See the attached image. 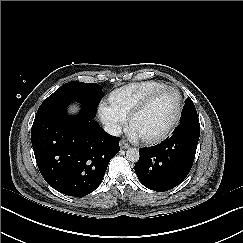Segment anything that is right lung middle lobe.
<instances>
[{
  "label": "right lung middle lobe",
  "instance_id": "1",
  "mask_svg": "<svg viewBox=\"0 0 243 243\" xmlns=\"http://www.w3.org/2000/svg\"><path fill=\"white\" fill-rule=\"evenodd\" d=\"M104 96L102 86L96 83L68 82L57 89L40 107L62 101L80 103L93 117L100 99Z\"/></svg>",
  "mask_w": 243,
  "mask_h": 243
}]
</instances>
